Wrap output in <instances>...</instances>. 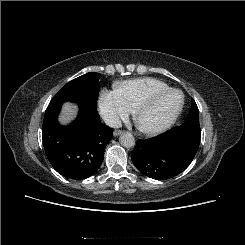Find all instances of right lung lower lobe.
<instances>
[{"instance_id":"right-lung-lower-lobe-1","label":"right lung lower lobe","mask_w":245,"mask_h":245,"mask_svg":"<svg viewBox=\"0 0 245 245\" xmlns=\"http://www.w3.org/2000/svg\"><path fill=\"white\" fill-rule=\"evenodd\" d=\"M61 105H48L46 109L42 127L44 149L57 172L83 180L100 167L113 129L101 123L96 107L88 103H79L81 109L76 120L61 126L57 121Z\"/></svg>"}]
</instances>
